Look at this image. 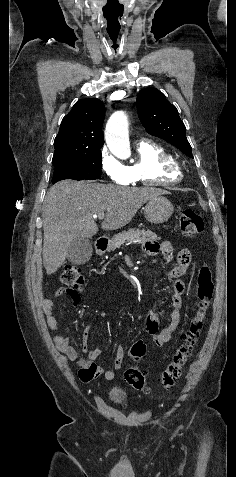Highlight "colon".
Returning a JSON list of instances; mask_svg holds the SVG:
<instances>
[{
  "instance_id": "1",
  "label": "colon",
  "mask_w": 236,
  "mask_h": 477,
  "mask_svg": "<svg viewBox=\"0 0 236 477\" xmlns=\"http://www.w3.org/2000/svg\"><path fill=\"white\" fill-rule=\"evenodd\" d=\"M180 231L183 236L191 238L198 235L204 228L202 217L191 209L184 210L180 216ZM61 283L68 291L80 289L84 285V277L79 267L67 265L61 274ZM214 292L212 274L207 266H203L197 278V301L195 311L188 327L181 333V344L175 350L171 361L161 374L160 382L164 389H172L181 378L184 366L190 357L203 328L204 320L209 309ZM143 342L134 343L128 352L132 360H140L146 355ZM126 382L136 390L147 393L145 374L137 368H129L124 373Z\"/></svg>"
}]
</instances>
